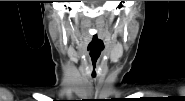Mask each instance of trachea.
Masks as SVG:
<instances>
[{
  "label": "trachea",
  "mask_w": 185,
  "mask_h": 101,
  "mask_svg": "<svg viewBox=\"0 0 185 101\" xmlns=\"http://www.w3.org/2000/svg\"><path fill=\"white\" fill-rule=\"evenodd\" d=\"M93 66H94V64H93ZM94 68H95V67H94ZM95 74H96V73H95V70H93V76H95Z\"/></svg>",
  "instance_id": "3493384b"
}]
</instances>
